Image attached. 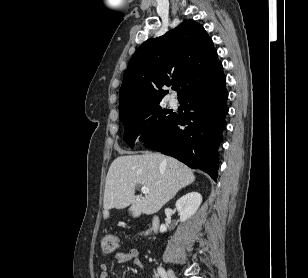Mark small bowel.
<instances>
[{
	"mask_svg": "<svg viewBox=\"0 0 308 278\" xmlns=\"http://www.w3.org/2000/svg\"><path fill=\"white\" fill-rule=\"evenodd\" d=\"M113 260L116 263H125L128 261H133L137 268L142 269V263L140 261V251L137 248L117 251L113 255ZM108 269H109L108 264L102 263L99 278H110Z\"/></svg>",
	"mask_w": 308,
	"mask_h": 278,
	"instance_id": "obj_1",
	"label": "small bowel"
}]
</instances>
